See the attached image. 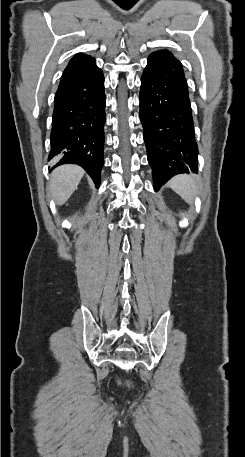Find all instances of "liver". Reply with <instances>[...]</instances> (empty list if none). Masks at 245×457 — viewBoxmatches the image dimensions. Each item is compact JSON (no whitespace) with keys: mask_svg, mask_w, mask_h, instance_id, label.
Listing matches in <instances>:
<instances>
[{"mask_svg":"<svg viewBox=\"0 0 245 457\" xmlns=\"http://www.w3.org/2000/svg\"><path fill=\"white\" fill-rule=\"evenodd\" d=\"M85 170L78 164H62L54 168L51 176V196L56 204H64L77 188Z\"/></svg>","mask_w":245,"mask_h":457,"instance_id":"liver-1","label":"liver"}]
</instances>
